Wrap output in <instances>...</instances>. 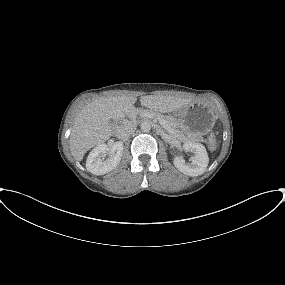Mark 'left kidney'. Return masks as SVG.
Instances as JSON below:
<instances>
[{
  "label": "left kidney",
  "instance_id": "5707ae66",
  "mask_svg": "<svg viewBox=\"0 0 285 285\" xmlns=\"http://www.w3.org/2000/svg\"><path fill=\"white\" fill-rule=\"evenodd\" d=\"M183 148L186 151L192 152L194 156L191 158L190 163H187L183 157L176 156L173 161L175 167L189 176L202 175L206 171L209 163L206 148L202 144L194 142H185Z\"/></svg>",
  "mask_w": 285,
  "mask_h": 285
}]
</instances>
